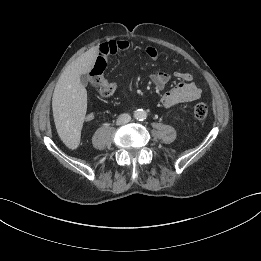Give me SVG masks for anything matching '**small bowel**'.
Wrapping results in <instances>:
<instances>
[{"label":"small bowel","instance_id":"small-bowel-1","mask_svg":"<svg viewBox=\"0 0 261 261\" xmlns=\"http://www.w3.org/2000/svg\"><path fill=\"white\" fill-rule=\"evenodd\" d=\"M129 49L130 43L128 40L121 39L106 41L99 47L95 65L102 64L105 67L108 57L126 52ZM144 52L151 60H157L159 57L158 51L153 46H146ZM174 76L179 79V82L162 95L161 104L163 107L171 108L178 104L190 103L200 97L201 90L192 80L191 74L186 72H175ZM171 79L172 75L163 70H158L151 76L152 82L159 90H163ZM107 82L112 88V93H114L117 89V84L111 81ZM94 118L93 113H87L84 119L86 122H92Z\"/></svg>","mask_w":261,"mask_h":261}]
</instances>
